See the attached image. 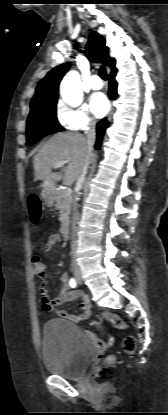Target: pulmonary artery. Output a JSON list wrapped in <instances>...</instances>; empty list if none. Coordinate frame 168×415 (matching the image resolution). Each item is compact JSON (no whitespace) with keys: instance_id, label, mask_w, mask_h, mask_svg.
Wrapping results in <instances>:
<instances>
[{"instance_id":"e3ab8cb5","label":"pulmonary artery","mask_w":168,"mask_h":415,"mask_svg":"<svg viewBox=\"0 0 168 415\" xmlns=\"http://www.w3.org/2000/svg\"><path fill=\"white\" fill-rule=\"evenodd\" d=\"M89 86L93 90H100L103 87V82L98 75H92L89 81Z\"/></svg>"}]
</instances>
